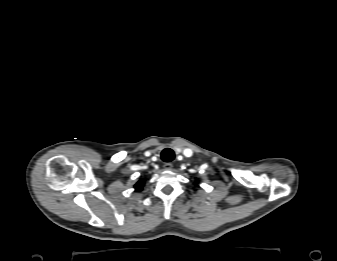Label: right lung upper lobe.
<instances>
[{"mask_svg": "<svg viewBox=\"0 0 337 261\" xmlns=\"http://www.w3.org/2000/svg\"><path fill=\"white\" fill-rule=\"evenodd\" d=\"M145 184V180L144 179H140L136 184H135V190L136 191H141L142 190V187L144 186Z\"/></svg>", "mask_w": 337, "mask_h": 261, "instance_id": "1", "label": "right lung upper lobe"}]
</instances>
